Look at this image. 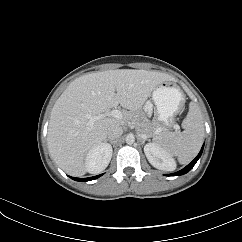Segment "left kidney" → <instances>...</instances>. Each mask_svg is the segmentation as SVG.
I'll list each match as a JSON object with an SVG mask.
<instances>
[{
    "mask_svg": "<svg viewBox=\"0 0 242 242\" xmlns=\"http://www.w3.org/2000/svg\"><path fill=\"white\" fill-rule=\"evenodd\" d=\"M144 153L149 163L159 170L173 171L176 168L175 160L156 143L146 144Z\"/></svg>",
    "mask_w": 242,
    "mask_h": 242,
    "instance_id": "left-kidney-1",
    "label": "left kidney"
}]
</instances>
